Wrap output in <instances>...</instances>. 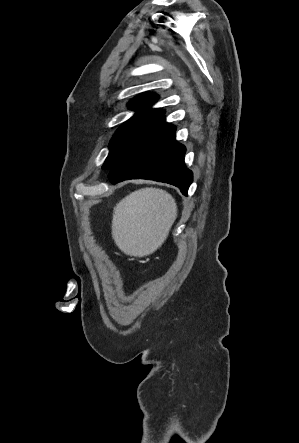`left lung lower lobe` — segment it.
Returning <instances> with one entry per match:
<instances>
[{"mask_svg":"<svg viewBox=\"0 0 299 443\" xmlns=\"http://www.w3.org/2000/svg\"><path fill=\"white\" fill-rule=\"evenodd\" d=\"M175 131L164 117L158 120L110 169V182L151 179L175 185L187 195L192 172L184 164L185 147L175 141Z\"/></svg>","mask_w":299,"mask_h":443,"instance_id":"left-lung-lower-lobe-1","label":"left lung lower lobe"}]
</instances>
